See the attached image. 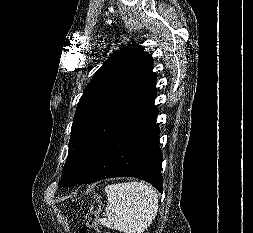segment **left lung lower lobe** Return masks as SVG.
I'll use <instances>...</instances> for the list:
<instances>
[{"label":"left lung lower lobe","instance_id":"0a47b994","mask_svg":"<svg viewBox=\"0 0 253 233\" xmlns=\"http://www.w3.org/2000/svg\"><path fill=\"white\" fill-rule=\"evenodd\" d=\"M156 93L153 85L119 122L78 184L112 177H136L162 192V152L158 145V110L154 106Z\"/></svg>","mask_w":253,"mask_h":233}]
</instances>
